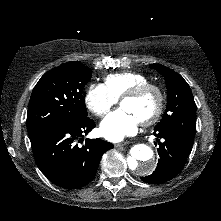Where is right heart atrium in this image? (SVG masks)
Segmentation results:
<instances>
[{"label":"right heart atrium","mask_w":221,"mask_h":221,"mask_svg":"<svg viewBox=\"0 0 221 221\" xmlns=\"http://www.w3.org/2000/svg\"><path fill=\"white\" fill-rule=\"evenodd\" d=\"M118 102L103 84H92L87 89L85 103L95 116L103 117Z\"/></svg>","instance_id":"1"}]
</instances>
